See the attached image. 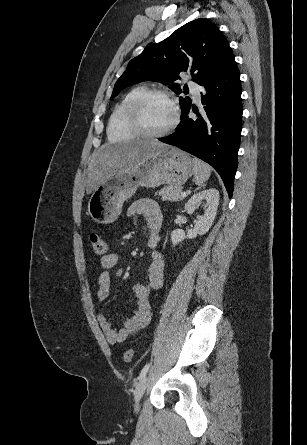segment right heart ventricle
I'll return each mask as SVG.
<instances>
[{"label": "right heart ventricle", "mask_w": 307, "mask_h": 445, "mask_svg": "<svg viewBox=\"0 0 307 445\" xmlns=\"http://www.w3.org/2000/svg\"><path fill=\"white\" fill-rule=\"evenodd\" d=\"M147 91L144 85L133 88L113 110L108 124L111 140H136L137 132L132 124L131 109L135 101Z\"/></svg>", "instance_id": "1"}]
</instances>
